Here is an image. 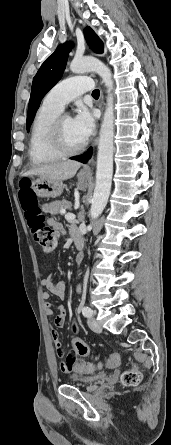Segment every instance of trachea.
<instances>
[{"mask_svg": "<svg viewBox=\"0 0 171 445\" xmlns=\"http://www.w3.org/2000/svg\"><path fill=\"white\" fill-rule=\"evenodd\" d=\"M99 95H100V91H99L98 89H95V90L92 92V96H93V97H99Z\"/></svg>", "mask_w": 171, "mask_h": 445, "instance_id": "trachea-1", "label": "trachea"}]
</instances>
